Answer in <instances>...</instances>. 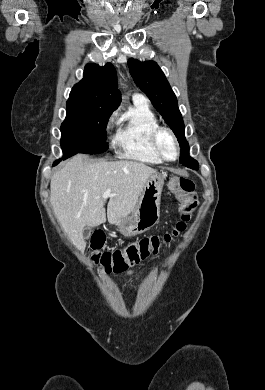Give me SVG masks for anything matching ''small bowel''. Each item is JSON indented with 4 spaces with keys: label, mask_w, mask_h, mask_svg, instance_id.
<instances>
[{
    "label": "small bowel",
    "mask_w": 265,
    "mask_h": 390,
    "mask_svg": "<svg viewBox=\"0 0 265 390\" xmlns=\"http://www.w3.org/2000/svg\"><path fill=\"white\" fill-rule=\"evenodd\" d=\"M134 271L132 269H129L125 272L126 275H132Z\"/></svg>",
    "instance_id": "c3829d8e"
}]
</instances>
